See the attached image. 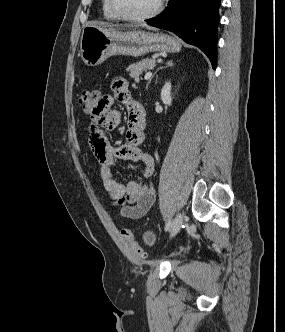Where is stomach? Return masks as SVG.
I'll return each instance as SVG.
<instances>
[{
  "instance_id": "obj_1",
  "label": "stomach",
  "mask_w": 285,
  "mask_h": 332,
  "mask_svg": "<svg viewBox=\"0 0 285 332\" xmlns=\"http://www.w3.org/2000/svg\"><path fill=\"white\" fill-rule=\"evenodd\" d=\"M180 49V42L166 34L121 32L88 25L82 31L79 55L87 66H97L113 55L138 57L149 52H178Z\"/></svg>"
}]
</instances>
